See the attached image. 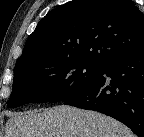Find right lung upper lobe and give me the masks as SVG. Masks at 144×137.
I'll return each instance as SVG.
<instances>
[{
  "mask_svg": "<svg viewBox=\"0 0 144 137\" xmlns=\"http://www.w3.org/2000/svg\"><path fill=\"white\" fill-rule=\"evenodd\" d=\"M142 47L144 14L133 1L73 0L38 23L16 66L67 58L105 65Z\"/></svg>",
  "mask_w": 144,
  "mask_h": 137,
  "instance_id": "1",
  "label": "right lung upper lobe"
}]
</instances>
